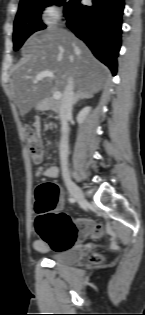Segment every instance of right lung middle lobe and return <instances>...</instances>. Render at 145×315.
Returning a JSON list of instances; mask_svg holds the SVG:
<instances>
[{
    "label": "right lung middle lobe",
    "mask_w": 145,
    "mask_h": 315,
    "mask_svg": "<svg viewBox=\"0 0 145 315\" xmlns=\"http://www.w3.org/2000/svg\"><path fill=\"white\" fill-rule=\"evenodd\" d=\"M30 0L20 3L14 22L13 43L14 50H18L26 39L36 31L46 28L41 20V14L48 5H64V11L72 0Z\"/></svg>",
    "instance_id": "obj_1"
}]
</instances>
